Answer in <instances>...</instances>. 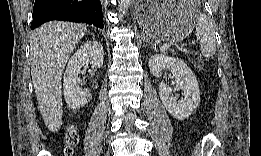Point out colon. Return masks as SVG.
<instances>
[{"label":"colon","mask_w":261,"mask_h":156,"mask_svg":"<svg viewBox=\"0 0 261 156\" xmlns=\"http://www.w3.org/2000/svg\"><path fill=\"white\" fill-rule=\"evenodd\" d=\"M77 141H78V134L76 131V127L74 125H70L65 137V142H66L65 154L67 155L72 154L73 147L76 145Z\"/></svg>","instance_id":"obj_1"}]
</instances>
